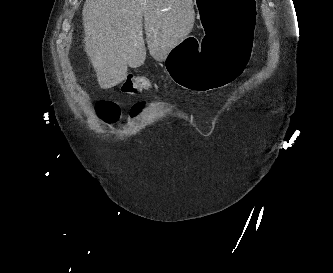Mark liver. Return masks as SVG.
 <instances>
[{
    "mask_svg": "<svg viewBox=\"0 0 333 273\" xmlns=\"http://www.w3.org/2000/svg\"><path fill=\"white\" fill-rule=\"evenodd\" d=\"M82 15L85 51L102 89L124 81L128 66L144 64L143 18L150 55L159 62L195 20L193 0H86Z\"/></svg>",
    "mask_w": 333,
    "mask_h": 273,
    "instance_id": "obj_1",
    "label": "liver"
}]
</instances>
